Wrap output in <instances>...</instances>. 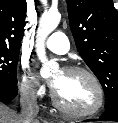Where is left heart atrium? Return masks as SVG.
<instances>
[{
  "instance_id": "obj_1",
  "label": "left heart atrium",
  "mask_w": 118,
  "mask_h": 123,
  "mask_svg": "<svg viewBox=\"0 0 118 123\" xmlns=\"http://www.w3.org/2000/svg\"><path fill=\"white\" fill-rule=\"evenodd\" d=\"M58 84V81L57 80H53L52 82H51V85L55 88L56 87V85Z\"/></svg>"
}]
</instances>
